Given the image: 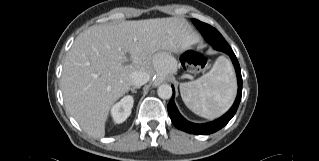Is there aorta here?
I'll return each mask as SVG.
<instances>
[{"label":"aorta","mask_w":319,"mask_h":161,"mask_svg":"<svg viewBox=\"0 0 319 161\" xmlns=\"http://www.w3.org/2000/svg\"><path fill=\"white\" fill-rule=\"evenodd\" d=\"M157 94L161 99H169L172 96V88L168 84H162L158 87Z\"/></svg>","instance_id":"obj_1"}]
</instances>
